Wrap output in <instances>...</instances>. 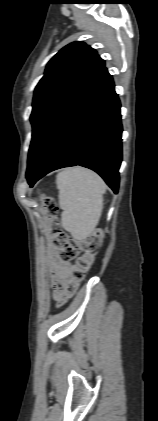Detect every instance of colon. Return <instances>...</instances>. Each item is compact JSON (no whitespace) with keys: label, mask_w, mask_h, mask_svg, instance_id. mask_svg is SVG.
<instances>
[{"label":"colon","mask_w":158,"mask_h":421,"mask_svg":"<svg viewBox=\"0 0 158 421\" xmlns=\"http://www.w3.org/2000/svg\"><path fill=\"white\" fill-rule=\"evenodd\" d=\"M42 204L49 224L48 235L53 245L58 249L60 259L70 262L76 258L80 251L84 252L71 265L69 277L65 284L66 297H71L76 293L80 283L92 266L104 234L101 229H95L83 237L70 236L61 228L56 201L50 196H43Z\"/></svg>","instance_id":"5ec220e1"}]
</instances>
